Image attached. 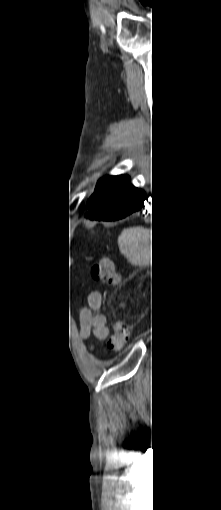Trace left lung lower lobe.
Masks as SVG:
<instances>
[{"mask_svg":"<svg viewBox=\"0 0 221 510\" xmlns=\"http://www.w3.org/2000/svg\"><path fill=\"white\" fill-rule=\"evenodd\" d=\"M145 192L129 184L105 206L90 211L86 217L95 220L114 221L125 218L144 207Z\"/></svg>","mask_w":221,"mask_h":510,"instance_id":"1","label":"left lung lower lobe"}]
</instances>
